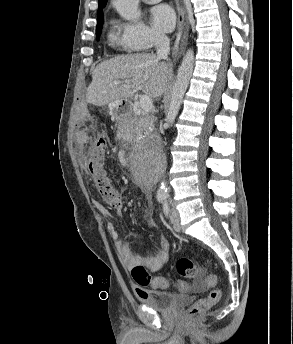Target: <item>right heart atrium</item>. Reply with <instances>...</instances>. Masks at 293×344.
<instances>
[{
  "label": "right heart atrium",
  "instance_id": "1",
  "mask_svg": "<svg viewBox=\"0 0 293 344\" xmlns=\"http://www.w3.org/2000/svg\"><path fill=\"white\" fill-rule=\"evenodd\" d=\"M122 47L128 51H144L152 48L164 37L139 20L117 23Z\"/></svg>",
  "mask_w": 293,
  "mask_h": 344
}]
</instances>
